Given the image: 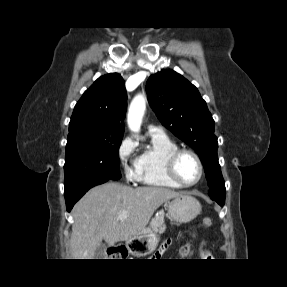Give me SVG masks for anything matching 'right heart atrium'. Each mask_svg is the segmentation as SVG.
<instances>
[{"mask_svg": "<svg viewBox=\"0 0 287 287\" xmlns=\"http://www.w3.org/2000/svg\"><path fill=\"white\" fill-rule=\"evenodd\" d=\"M134 151L135 143L129 137L123 138L117 148V157L128 181L138 180L136 161L133 159Z\"/></svg>", "mask_w": 287, "mask_h": 287, "instance_id": "1", "label": "right heart atrium"}]
</instances>
